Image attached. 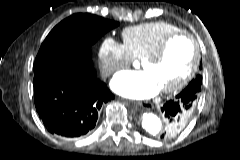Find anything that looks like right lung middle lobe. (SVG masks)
Returning a JSON list of instances; mask_svg holds the SVG:
<instances>
[{
	"mask_svg": "<svg viewBox=\"0 0 240 160\" xmlns=\"http://www.w3.org/2000/svg\"><path fill=\"white\" fill-rule=\"evenodd\" d=\"M118 24L82 13L64 19L50 31L42 43L35 59L34 71L55 60L66 61L85 70L93 68L91 46Z\"/></svg>",
	"mask_w": 240,
	"mask_h": 160,
	"instance_id": "right-lung-middle-lobe-1",
	"label": "right lung middle lobe"
}]
</instances>
